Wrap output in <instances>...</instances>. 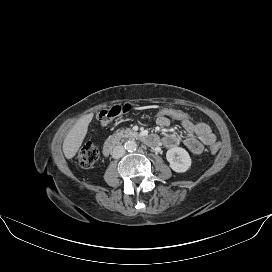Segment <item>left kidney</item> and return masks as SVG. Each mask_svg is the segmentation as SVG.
Instances as JSON below:
<instances>
[{
  "mask_svg": "<svg viewBox=\"0 0 272 272\" xmlns=\"http://www.w3.org/2000/svg\"><path fill=\"white\" fill-rule=\"evenodd\" d=\"M167 161L173 171L177 173L186 172L191 166L189 153L181 147H173L166 153Z\"/></svg>",
  "mask_w": 272,
  "mask_h": 272,
  "instance_id": "5707ae66",
  "label": "left kidney"
}]
</instances>
